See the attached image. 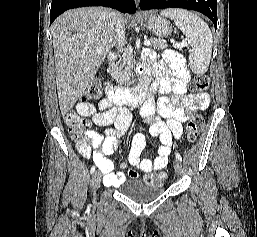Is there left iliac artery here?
Wrapping results in <instances>:
<instances>
[{"label": "left iliac artery", "mask_w": 257, "mask_h": 237, "mask_svg": "<svg viewBox=\"0 0 257 237\" xmlns=\"http://www.w3.org/2000/svg\"><path fill=\"white\" fill-rule=\"evenodd\" d=\"M175 155L178 160L182 161V157L178 152H176Z\"/></svg>", "instance_id": "left-iliac-artery-1"}]
</instances>
